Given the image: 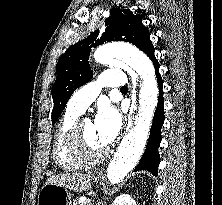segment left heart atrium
I'll return each instance as SVG.
<instances>
[{"instance_id":"obj_1","label":"left heart atrium","mask_w":222,"mask_h":205,"mask_svg":"<svg viewBox=\"0 0 222 205\" xmlns=\"http://www.w3.org/2000/svg\"><path fill=\"white\" fill-rule=\"evenodd\" d=\"M93 125L99 141L107 146L119 133L121 128L120 114L115 108L102 105L98 109Z\"/></svg>"}]
</instances>
